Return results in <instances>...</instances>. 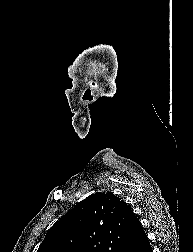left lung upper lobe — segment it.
I'll return each mask as SVG.
<instances>
[{"label":"left lung upper lobe","mask_w":193,"mask_h":252,"mask_svg":"<svg viewBox=\"0 0 193 252\" xmlns=\"http://www.w3.org/2000/svg\"><path fill=\"white\" fill-rule=\"evenodd\" d=\"M139 220L113 193H95L47 232L37 252H123Z\"/></svg>","instance_id":"left-lung-upper-lobe-1"}]
</instances>
